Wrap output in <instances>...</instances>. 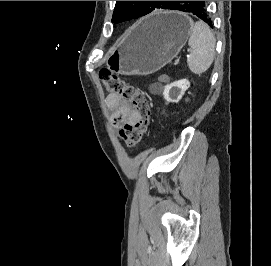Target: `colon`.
Wrapping results in <instances>:
<instances>
[{"label": "colon", "mask_w": 271, "mask_h": 266, "mask_svg": "<svg viewBox=\"0 0 271 266\" xmlns=\"http://www.w3.org/2000/svg\"><path fill=\"white\" fill-rule=\"evenodd\" d=\"M100 79L110 94L121 97L134 106L137 120L123 125L119 134L127 147L138 146L147 132L151 117V106L145 92L107 69L100 71Z\"/></svg>", "instance_id": "obj_1"}]
</instances>
